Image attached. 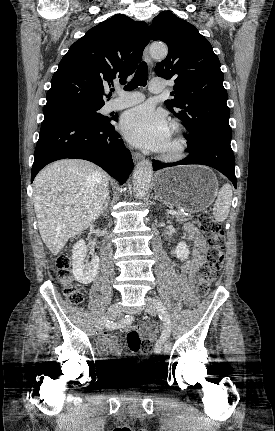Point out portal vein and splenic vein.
I'll return each instance as SVG.
<instances>
[{
  "label": "portal vein and splenic vein",
  "mask_w": 275,
  "mask_h": 431,
  "mask_svg": "<svg viewBox=\"0 0 275 431\" xmlns=\"http://www.w3.org/2000/svg\"><path fill=\"white\" fill-rule=\"evenodd\" d=\"M167 212L171 215H177L178 214V212L176 210H172V209L168 210Z\"/></svg>",
  "instance_id": "portal-vein-and-splenic-vein-1"
}]
</instances>
